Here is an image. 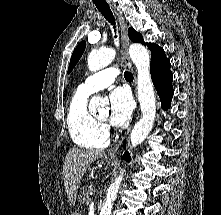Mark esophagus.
<instances>
[{"label": "esophagus", "mask_w": 221, "mask_h": 215, "mask_svg": "<svg viewBox=\"0 0 221 215\" xmlns=\"http://www.w3.org/2000/svg\"><path fill=\"white\" fill-rule=\"evenodd\" d=\"M116 11V14L118 15V18H119V24H120V28H121V40H122V50H123V59L126 63V65L129 67V68H132V62H131V59H130V56H129V45H130V40L128 38V32H127V24L126 22L124 21V18L122 17L121 13L118 12L117 10ZM131 128H128L127 132L125 133V135L119 140V142L112 148L108 151L107 153V156L109 157H116L117 156V153H118V150L119 148L121 147L124 139H125V136L129 133Z\"/></svg>", "instance_id": "1"}]
</instances>
